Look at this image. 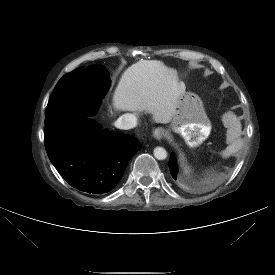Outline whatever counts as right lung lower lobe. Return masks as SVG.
<instances>
[{
  "label": "right lung lower lobe",
  "instance_id": "obj_1",
  "mask_svg": "<svg viewBox=\"0 0 275 275\" xmlns=\"http://www.w3.org/2000/svg\"><path fill=\"white\" fill-rule=\"evenodd\" d=\"M109 79L102 80L106 93ZM90 115L45 126V148L59 174L74 188L92 194L111 191L131 157L142 147L131 135L103 129Z\"/></svg>",
  "mask_w": 275,
  "mask_h": 275
}]
</instances>
